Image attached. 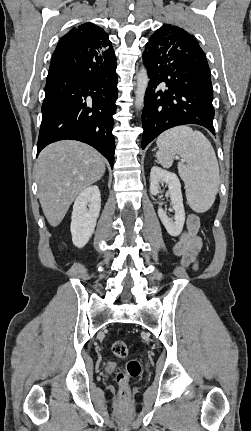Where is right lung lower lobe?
<instances>
[{
    "instance_id": "98d812e1",
    "label": "right lung lower lobe",
    "mask_w": 251,
    "mask_h": 431,
    "mask_svg": "<svg viewBox=\"0 0 251 431\" xmlns=\"http://www.w3.org/2000/svg\"><path fill=\"white\" fill-rule=\"evenodd\" d=\"M117 82L116 57L107 61L95 50L66 53L55 49L41 109L37 155L52 142L73 139L93 146L113 168Z\"/></svg>"
}]
</instances>
